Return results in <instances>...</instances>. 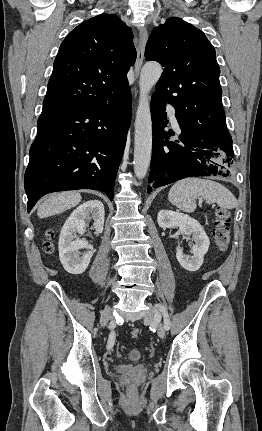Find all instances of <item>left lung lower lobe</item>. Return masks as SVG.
<instances>
[{"label":"left lung lower lobe","instance_id":"obj_1","mask_svg":"<svg viewBox=\"0 0 262 431\" xmlns=\"http://www.w3.org/2000/svg\"><path fill=\"white\" fill-rule=\"evenodd\" d=\"M165 105L162 97L152 95L153 146L148 193L187 177L231 175L234 153L229 132L206 138L180 126L178 139L170 141L173 133L164 130L168 123Z\"/></svg>","mask_w":262,"mask_h":431}]
</instances>
